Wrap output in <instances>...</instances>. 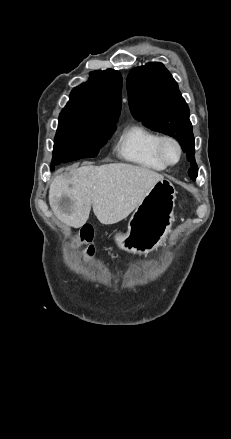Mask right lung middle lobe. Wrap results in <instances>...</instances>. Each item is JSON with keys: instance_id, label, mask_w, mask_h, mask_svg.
I'll use <instances>...</instances> for the list:
<instances>
[{"instance_id": "right-lung-middle-lobe-1", "label": "right lung middle lobe", "mask_w": 231, "mask_h": 439, "mask_svg": "<svg viewBox=\"0 0 231 439\" xmlns=\"http://www.w3.org/2000/svg\"><path fill=\"white\" fill-rule=\"evenodd\" d=\"M116 130V125L89 118H59L51 170L60 163L96 157Z\"/></svg>"}]
</instances>
